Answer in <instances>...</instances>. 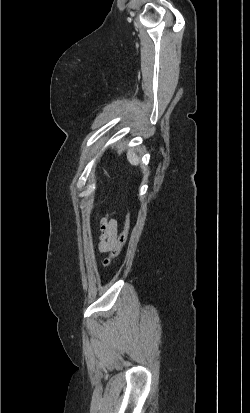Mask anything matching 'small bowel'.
<instances>
[{
  "label": "small bowel",
  "mask_w": 250,
  "mask_h": 413,
  "mask_svg": "<svg viewBox=\"0 0 250 413\" xmlns=\"http://www.w3.org/2000/svg\"><path fill=\"white\" fill-rule=\"evenodd\" d=\"M117 242V222L114 219L103 218L100 222L98 249L101 253H109Z\"/></svg>",
  "instance_id": "c3829d8e"
}]
</instances>
